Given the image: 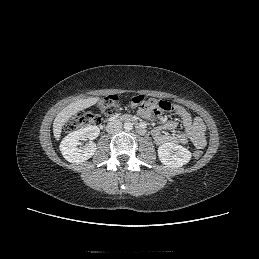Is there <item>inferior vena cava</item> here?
Listing matches in <instances>:
<instances>
[{
	"mask_svg": "<svg viewBox=\"0 0 259 259\" xmlns=\"http://www.w3.org/2000/svg\"><path fill=\"white\" fill-rule=\"evenodd\" d=\"M122 130V123L118 120L109 122L106 126V131L109 134H116Z\"/></svg>",
	"mask_w": 259,
	"mask_h": 259,
	"instance_id": "602c4592",
	"label": "inferior vena cava"
}]
</instances>
